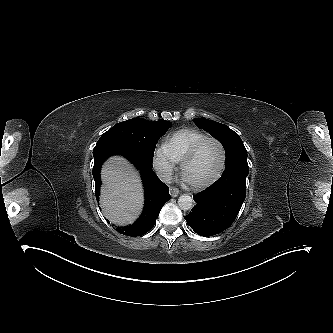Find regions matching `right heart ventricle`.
I'll return each instance as SVG.
<instances>
[{
    "label": "right heart ventricle",
    "instance_id": "1",
    "mask_svg": "<svg viewBox=\"0 0 333 333\" xmlns=\"http://www.w3.org/2000/svg\"><path fill=\"white\" fill-rule=\"evenodd\" d=\"M207 136L203 131L183 128L168 137L166 147L176 161H181L194 144Z\"/></svg>",
    "mask_w": 333,
    "mask_h": 333
}]
</instances>
